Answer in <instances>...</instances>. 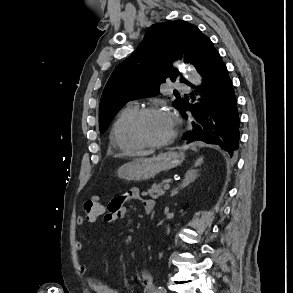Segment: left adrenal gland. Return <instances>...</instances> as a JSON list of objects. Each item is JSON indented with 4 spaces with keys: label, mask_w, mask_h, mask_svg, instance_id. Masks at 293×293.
Masks as SVG:
<instances>
[{
    "label": "left adrenal gland",
    "mask_w": 293,
    "mask_h": 293,
    "mask_svg": "<svg viewBox=\"0 0 293 293\" xmlns=\"http://www.w3.org/2000/svg\"><path fill=\"white\" fill-rule=\"evenodd\" d=\"M198 171L195 170H188L184 176V179L182 181V183L177 187L174 188L171 191V197L175 196L176 194H178L179 189L185 188L186 186H188L191 182H193L197 177H198Z\"/></svg>",
    "instance_id": "left-adrenal-gland-1"
}]
</instances>
